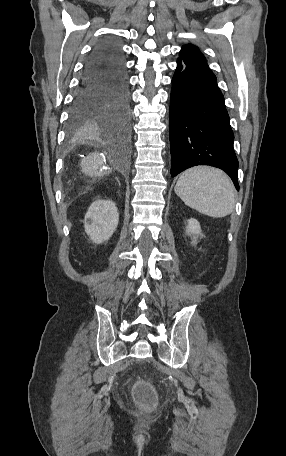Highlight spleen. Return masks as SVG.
Masks as SVG:
<instances>
[{
  "instance_id": "1",
  "label": "spleen",
  "mask_w": 286,
  "mask_h": 456,
  "mask_svg": "<svg viewBox=\"0 0 286 456\" xmlns=\"http://www.w3.org/2000/svg\"><path fill=\"white\" fill-rule=\"evenodd\" d=\"M175 193L190 208L213 218L225 217L235 208L233 183L220 169L198 166L184 171Z\"/></svg>"
}]
</instances>
